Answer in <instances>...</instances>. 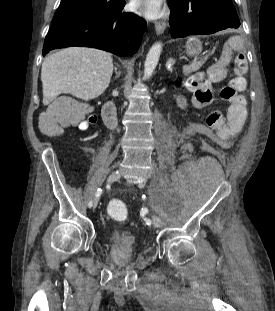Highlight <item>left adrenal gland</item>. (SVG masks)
<instances>
[{"mask_svg":"<svg viewBox=\"0 0 275 311\" xmlns=\"http://www.w3.org/2000/svg\"><path fill=\"white\" fill-rule=\"evenodd\" d=\"M174 64H175V60L173 58H170L166 63V67L170 69V67L173 66Z\"/></svg>","mask_w":275,"mask_h":311,"instance_id":"obj_1","label":"left adrenal gland"}]
</instances>
